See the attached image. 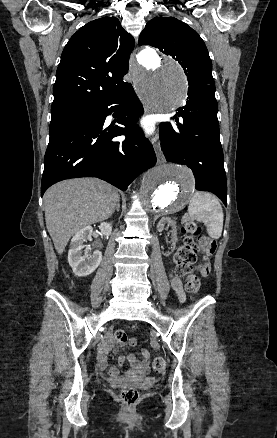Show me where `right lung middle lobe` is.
Here are the masks:
<instances>
[{
	"mask_svg": "<svg viewBox=\"0 0 277 438\" xmlns=\"http://www.w3.org/2000/svg\"><path fill=\"white\" fill-rule=\"evenodd\" d=\"M88 108L51 112L50 133L68 123L72 119L88 112Z\"/></svg>",
	"mask_w": 277,
	"mask_h": 438,
	"instance_id": "1",
	"label": "right lung middle lobe"
}]
</instances>
